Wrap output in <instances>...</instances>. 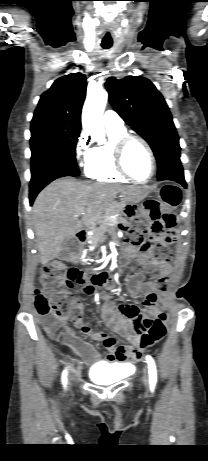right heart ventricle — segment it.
<instances>
[{
	"label": "right heart ventricle",
	"mask_w": 208,
	"mask_h": 461,
	"mask_svg": "<svg viewBox=\"0 0 208 461\" xmlns=\"http://www.w3.org/2000/svg\"><path fill=\"white\" fill-rule=\"evenodd\" d=\"M108 141L105 144L92 147L85 163V175L99 182H127L115 167L113 147L115 142L127 134L126 129L106 128Z\"/></svg>",
	"instance_id": "e07e8e85"
}]
</instances>
